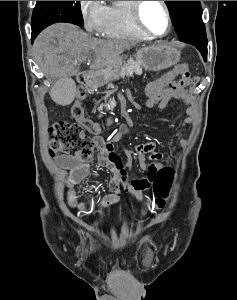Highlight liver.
Segmentation results:
<instances>
[{
    "label": "liver",
    "mask_w": 237,
    "mask_h": 300,
    "mask_svg": "<svg viewBox=\"0 0 237 300\" xmlns=\"http://www.w3.org/2000/svg\"><path fill=\"white\" fill-rule=\"evenodd\" d=\"M129 41H104L81 31L76 25L57 23L44 29L34 41V57L50 77L78 75L79 63L90 61V69H105L124 51Z\"/></svg>",
    "instance_id": "6515ba94"
}]
</instances>
